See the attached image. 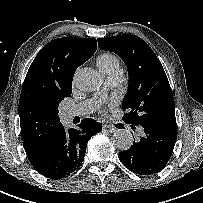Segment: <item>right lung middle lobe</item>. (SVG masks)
<instances>
[{"label":"right lung middle lobe","mask_w":203,"mask_h":203,"mask_svg":"<svg viewBox=\"0 0 203 203\" xmlns=\"http://www.w3.org/2000/svg\"><path fill=\"white\" fill-rule=\"evenodd\" d=\"M62 100H63V99H61L60 102H61ZM60 102H58V104H57V109H58V106H59V103H60ZM58 112H59V111H58Z\"/></svg>","instance_id":"1"}]
</instances>
